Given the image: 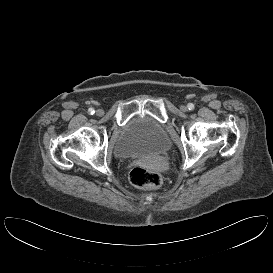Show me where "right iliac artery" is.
Wrapping results in <instances>:
<instances>
[{"label": "right iliac artery", "mask_w": 273, "mask_h": 273, "mask_svg": "<svg viewBox=\"0 0 273 273\" xmlns=\"http://www.w3.org/2000/svg\"><path fill=\"white\" fill-rule=\"evenodd\" d=\"M88 112L93 115L95 113V110L93 108H89Z\"/></svg>", "instance_id": "1"}]
</instances>
